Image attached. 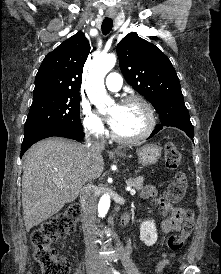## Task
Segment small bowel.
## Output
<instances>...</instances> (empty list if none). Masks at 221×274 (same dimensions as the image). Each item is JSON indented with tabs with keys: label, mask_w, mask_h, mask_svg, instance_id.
I'll return each mask as SVG.
<instances>
[{
	"label": "small bowel",
	"mask_w": 221,
	"mask_h": 274,
	"mask_svg": "<svg viewBox=\"0 0 221 274\" xmlns=\"http://www.w3.org/2000/svg\"><path fill=\"white\" fill-rule=\"evenodd\" d=\"M142 197L144 199H153L154 203L159 207L165 219L160 225V231L162 234H168L169 232L181 231L185 221V211L181 207H176L167 202L158 190L153 186H146L142 190ZM156 260V259H153ZM168 263L167 259L163 257L157 261L155 271L159 272L161 268Z\"/></svg>",
	"instance_id": "c3829d8e"
}]
</instances>
